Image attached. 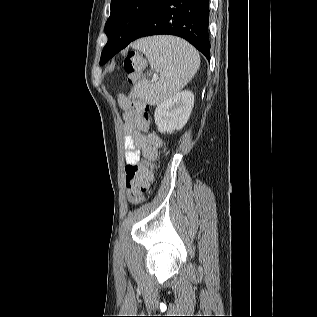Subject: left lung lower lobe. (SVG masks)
Returning a JSON list of instances; mask_svg holds the SVG:
<instances>
[{"instance_id": "0a47b994", "label": "left lung lower lobe", "mask_w": 317, "mask_h": 317, "mask_svg": "<svg viewBox=\"0 0 317 317\" xmlns=\"http://www.w3.org/2000/svg\"><path fill=\"white\" fill-rule=\"evenodd\" d=\"M208 24L209 0H163L130 42L108 41L104 49L110 59L136 39L168 34L184 38L210 61Z\"/></svg>"}]
</instances>
